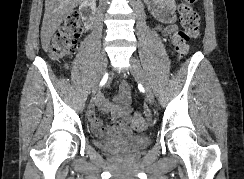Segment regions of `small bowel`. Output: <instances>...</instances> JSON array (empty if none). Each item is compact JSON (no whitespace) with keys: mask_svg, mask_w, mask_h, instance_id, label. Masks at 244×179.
I'll list each match as a JSON object with an SVG mask.
<instances>
[{"mask_svg":"<svg viewBox=\"0 0 244 179\" xmlns=\"http://www.w3.org/2000/svg\"><path fill=\"white\" fill-rule=\"evenodd\" d=\"M171 11L169 5H164L157 12V17L161 23L157 30L164 36H168L173 30L174 26L169 24L168 16ZM130 85L127 82H121L118 93L111 101L104 99L102 96L98 97V104L107 113V124L104 125L102 120L94 113V109H90V119L94 128L101 134L106 136L129 135L136 127L131 126L130 114ZM139 116V115H135Z\"/></svg>","mask_w":244,"mask_h":179,"instance_id":"c3829d8e","label":"small bowel"}]
</instances>
